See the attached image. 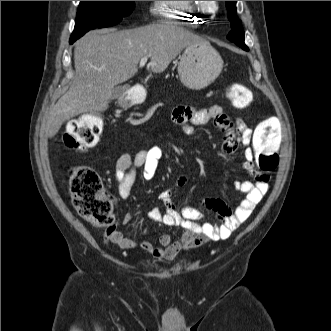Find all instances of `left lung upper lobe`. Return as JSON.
I'll list each match as a JSON object with an SVG mask.
<instances>
[{
  "instance_id": "left-lung-upper-lobe-1",
  "label": "left lung upper lobe",
  "mask_w": 331,
  "mask_h": 331,
  "mask_svg": "<svg viewBox=\"0 0 331 331\" xmlns=\"http://www.w3.org/2000/svg\"><path fill=\"white\" fill-rule=\"evenodd\" d=\"M226 8L228 10V18L231 21L232 30L227 38L243 48H248L244 43V30L240 20L236 17V1H226Z\"/></svg>"
}]
</instances>
